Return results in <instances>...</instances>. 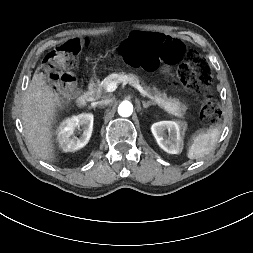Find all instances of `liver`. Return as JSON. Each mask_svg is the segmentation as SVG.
Instances as JSON below:
<instances>
[{
  "instance_id": "1",
  "label": "liver",
  "mask_w": 253,
  "mask_h": 253,
  "mask_svg": "<svg viewBox=\"0 0 253 253\" xmlns=\"http://www.w3.org/2000/svg\"><path fill=\"white\" fill-rule=\"evenodd\" d=\"M58 105V98L36 71L23 97L22 123L31 149L44 161L55 158L52 125Z\"/></svg>"
}]
</instances>
